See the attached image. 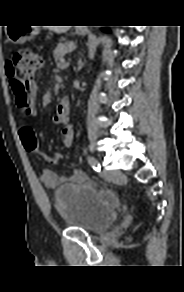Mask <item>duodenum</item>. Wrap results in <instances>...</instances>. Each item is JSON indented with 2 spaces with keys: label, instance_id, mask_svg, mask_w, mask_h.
I'll list each match as a JSON object with an SVG mask.
<instances>
[{
  "label": "duodenum",
  "instance_id": "410a0bca",
  "mask_svg": "<svg viewBox=\"0 0 184 292\" xmlns=\"http://www.w3.org/2000/svg\"><path fill=\"white\" fill-rule=\"evenodd\" d=\"M70 101L69 99H62L56 105L57 116L65 117L69 113Z\"/></svg>",
  "mask_w": 184,
  "mask_h": 292
}]
</instances>
